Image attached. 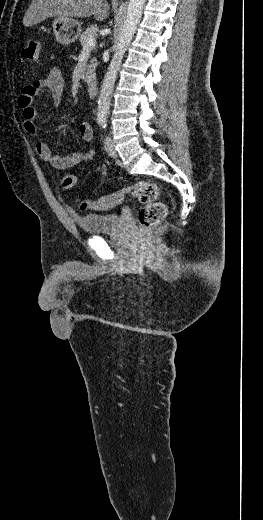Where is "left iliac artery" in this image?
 Segmentation results:
<instances>
[{
	"label": "left iliac artery",
	"mask_w": 263,
	"mask_h": 520,
	"mask_svg": "<svg viewBox=\"0 0 263 520\" xmlns=\"http://www.w3.org/2000/svg\"><path fill=\"white\" fill-rule=\"evenodd\" d=\"M105 127H106V123H105V121H104V123H103V128H105Z\"/></svg>",
	"instance_id": "1"
}]
</instances>
